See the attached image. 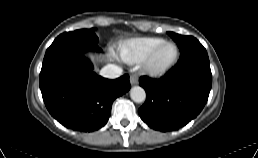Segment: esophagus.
Returning a JSON list of instances; mask_svg holds the SVG:
<instances>
[{"mask_svg":"<svg viewBox=\"0 0 258 158\" xmlns=\"http://www.w3.org/2000/svg\"><path fill=\"white\" fill-rule=\"evenodd\" d=\"M129 80L131 85H136L138 83V76L136 74H132Z\"/></svg>","mask_w":258,"mask_h":158,"instance_id":"1","label":"esophagus"}]
</instances>
